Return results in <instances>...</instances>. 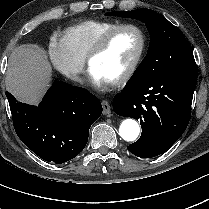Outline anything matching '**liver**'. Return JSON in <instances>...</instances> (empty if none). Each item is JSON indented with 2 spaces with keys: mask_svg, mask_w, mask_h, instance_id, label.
<instances>
[{
  "mask_svg": "<svg viewBox=\"0 0 209 209\" xmlns=\"http://www.w3.org/2000/svg\"><path fill=\"white\" fill-rule=\"evenodd\" d=\"M52 68L46 52L35 44L16 47L8 60L6 88L18 100L36 104L49 86Z\"/></svg>",
  "mask_w": 209,
  "mask_h": 209,
  "instance_id": "1",
  "label": "liver"
}]
</instances>
